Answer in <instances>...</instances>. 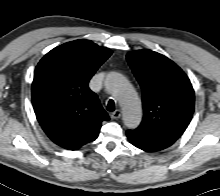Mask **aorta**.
<instances>
[{
    "mask_svg": "<svg viewBox=\"0 0 220 196\" xmlns=\"http://www.w3.org/2000/svg\"><path fill=\"white\" fill-rule=\"evenodd\" d=\"M106 87L117 98L123 110V122L127 128H136L142 118L141 102L129 81L119 73H112Z\"/></svg>",
    "mask_w": 220,
    "mask_h": 196,
    "instance_id": "762f6f07",
    "label": "aorta"
}]
</instances>
